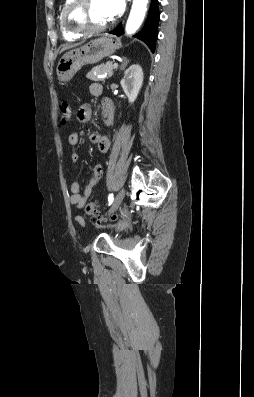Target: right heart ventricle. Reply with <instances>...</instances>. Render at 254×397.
Returning <instances> with one entry per match:
<instances>
[{"label":"right heart ventricle","mask_w":254,"mask_h":397,"mask_svg":"<svg viewBox=\"0 0 254 397\" xmlns=\"http://www.w3.org/2000/svg\"><path fill=\"white\" fill-rule=\"evenodd\" d=\"M71 2V0H64V3L61 7L60 13H59V17H58V24H59V30L60 33L63 37V39L67 40V41H74L76 39H78L81 34H76V33H72L70 31H68L64 24H63V13L65 8L67 7V5Z\"/></svg>","instance_id":"e07e8e85"}]
</instances>
